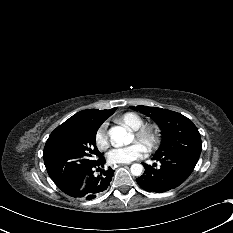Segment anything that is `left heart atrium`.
<instances>
[{"label": "left heart atrium", "mask_w": 233, "mask_h": 233, "mask_svg": "<svg viewBox=\"0 0 233 233\" xmlns=\"http://www.w3.org/2000/svg\"><path fill=\"white\" fill-rule=\"evenodd\" d=\"M145 146L140 142H135L129 146L115 148L108 154V158L113 163H130L146 153Z\"/></svg>", "instance_id": "obj_1"}]
</instances>
